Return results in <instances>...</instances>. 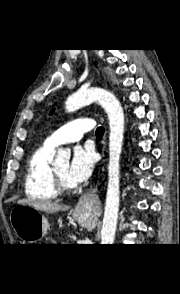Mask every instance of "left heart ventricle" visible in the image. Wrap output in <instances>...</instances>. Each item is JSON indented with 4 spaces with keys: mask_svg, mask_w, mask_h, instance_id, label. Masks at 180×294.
<instances>
[{
    "mask_svg": "<svg viewBox=\"0 0 180 294\" xmlns=\"http://www.w3.org/2000/svg\"><path fill=\"white\" fill-rule=\"evenodd\" d=\"M58 174L60 175V177L62 178V180L64 181V183L66 184V186L68 187H73V185H71L67 178H66V172H67V169H68V164L67 163H62V164H59L57 166H55Z\"/></svg>",
    "mask_w": 180,
    "mask_h": 294,
    "instance_id": "obj_1",
    "label": "left heart ventricle"
}]
</instances>
